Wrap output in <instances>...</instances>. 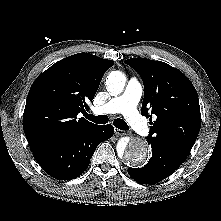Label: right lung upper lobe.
<instances>
[{"label": "right lung upper lobe", "instance_id": "right-lung-upper-lobe-1", "mask_svg": "<svg viewBox=\"0 0 221 221\" xmlns=\"http://www.w3.org/2000/svg\"><path fill=\"white\" fill-rule=\"evenodd\" d=\"M112 60L89 53L69 56L44 71L32 84L23 129L32 151L80 134L96 125L81 117L89 109Z\"/></svg>", "mask_w": 221, "mask_h": 221}]
</instances>
